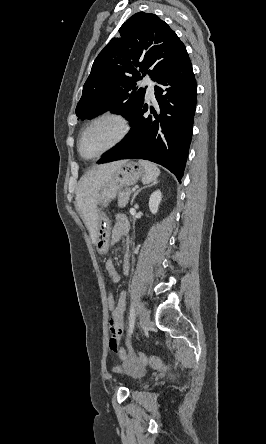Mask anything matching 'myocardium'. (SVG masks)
<instances>
[{"label":"myocardium","mask_w":266,"mask_h":444,"mask_svg":"<svg viewBox=\"0 0 266 444\" xmlns=\"http://www.w3.org/2000/svg\"><path fill=\"white\" fill-rule=\"evenodd\" d=\"M102 120H111V121L115 122L116 125L118 126L119 132H118L117 137L114 139V141L107 148H105L104 150H102L101 152H99L93 156H100V155L108 153L109 151L118 147L127 137L128 133H129V125L123 116H121L120 114H117V113H113V112L102 113V114L94 117L92 120H90L79 134L78 141H77V149H78L79 154L82 157H86V155L83 153V150H82V140H83L84 134L94 124H96Z\"/></svg>","instance_id":"f54148a6"}]
</instances>
